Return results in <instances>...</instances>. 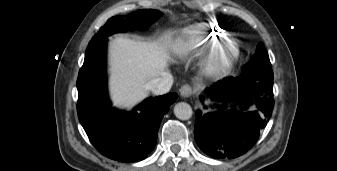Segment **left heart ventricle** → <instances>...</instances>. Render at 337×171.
I'll list each match as a JSON object with an SVG mask.
<instances>
[{
	"label": "left heart ventricle",
	"mask_w": 337,
	"mask_h": 171,
	"mask_svg": "<svg viewBox=\"0 0 337 171\" xmlns=\"http://www.w3.org/2000/svg\"><path fill=\"white\" fill-rule=\"evenodd\" d=\"M226 52H227V51H224V52H223V55L226 54Z\"/></svg>",
	"instance_id": "left-heart-ventricle-1"
}]
</instances>
